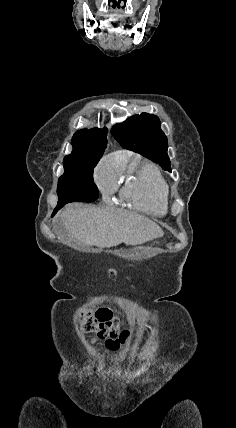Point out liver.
I'll return each mask as SVG.
<instances>
[{
  "instance_id": "obj_1",
  "label": "liver",
  "mask_w": 236,
  "mask_h": 428,
  "mask_svg": "<svg viewBox=\"0 0 236 428\" xmlns=\"http://www.w3.org/2000/svg\"><path fill=\"white\" fill-rule=\"evenodd\" d=\"M69 236L88 246L112 248L119 244L136 246L164 236L158 224L135 212H117L113 208L66 206L59 216Z\"/></svg>"
}]
</instances>
